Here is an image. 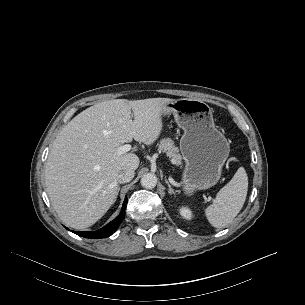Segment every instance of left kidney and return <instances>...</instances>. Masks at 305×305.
<instances>
[{
	"mask_svg": "<svg viewBox=\"0 0 305 305\" xmlns=\"http://www.w3.org/2000/svg\"><path fill=\"white\" fill-rule=\"evenodd\" d=\"M179 211L181 216H183L185 219L190 220L193 216L191 209L188 207L182 206Z\"/></svg>",
	"mask_w": 305,
	"mask_h": 305,
	"instance_id": "1",
	"label": "left kidney"
}]
</instances>
